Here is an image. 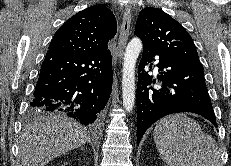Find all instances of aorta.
<instances>
[{
    "instance_id": "1",
    "label": "aorta",
    "mask_w": 231,
    "mask_h": 166,
    "mask_svg": "<svg viewBox=\"0 0 231 166\" xmlns=\"http://www.w3.org/2000/svg\"><path fill=\"white\" fill-rule=\"evenodd\" d=\"M141 50V40L139 38H133L128 43L124 54L122 98L124 109L127 112H131L135 104V66Z\"/></svg>"
}]
</instances>
